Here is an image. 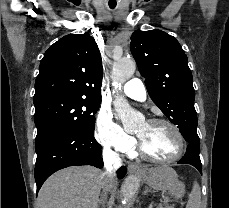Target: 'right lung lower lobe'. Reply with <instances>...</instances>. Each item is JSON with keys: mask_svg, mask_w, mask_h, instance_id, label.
Instances as JSON below:
<instances>
[{"mask_svg": "<svg viewBox=\"0 0 229 208\" xmlns=\"http://www.w3.org/2000/svg\"><path fill=\"white\" fill-rule=\"evenodd\" d=\"M35 149L37 193L44 181L60 169L76 165L103 166L101 145L95 140L94 133L74 128L59 129L36 142ZM125 174V167L117 171L118 178Z\"/></svg>", "mask_w": 229, "mask_h": 208, "instance_id": "right-lung-lower-lobe-1", "label": "right lung lower lobe"}]
</instances>
